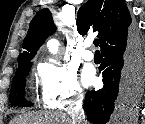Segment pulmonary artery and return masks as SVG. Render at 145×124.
<instances>
[{
    "label": "pulmonary artery",
    "instance_id": "e3ab8cb5",
    "mask_svg": "<svg viewBox=\"0 0 145 124\" xmlns=\"http://www.w3.org/2000/svg\"><path fill=\"white\" fill-rule=\"evenodd\" d=\"M84 46H85V50L82 53L83 59L86 61H92L94 59V54L90 49H88L90 46V42L86 41Z\"/></svg>",
    "mask_w": 145,
    "mask_h": 124
}]
</instances>
